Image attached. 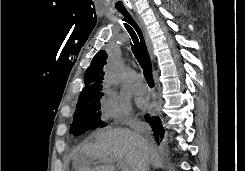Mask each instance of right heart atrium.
I'll use <instances>...</instances> for the list:
<instances>
[{
    "instance_id": "obj_1",
    "label": "right heart atrium",
    "mask_w": 245,
    "mask_h": 171,
    "mask_svg": "<svg viewBox=\"0 0 245 171\" xmlns=\"http://www.w3.org/2000/svg\"><path fill=\"white\" fill-rule=\"evenodd\" d=\"M100 118L106 124H134L129 107L113 92H106L100 100Z\"/></svg>"
}]
</instances>
